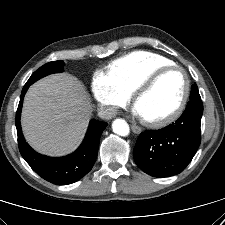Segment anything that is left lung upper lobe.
<instances>
[{
  "instance_id": "5c2ea615",
  "label": "left lung upper lobe",
  "mask_w": 225,
  "mask_h": 225,
  "mask_svg": "<svg viewBox=\"0 0 225 225\" xmlns=\"http://www.w3.org/2000/svg\"><path fill=\"white\" fill-rule=\"evenodd\" d=\"M197 97H200V95H199V92H198L197 85L194 84L192 86V90H191V94H190V99L197 98Z\"/></svg>"
}]
</instances>
